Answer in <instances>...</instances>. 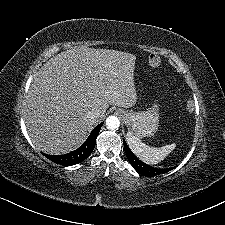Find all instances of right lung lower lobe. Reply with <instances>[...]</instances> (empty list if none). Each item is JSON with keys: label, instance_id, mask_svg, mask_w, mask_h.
Wrapping results in <instances>:
<instances>
[{"label": "right lung lower lobe", "instance_id": "right-lung-lower-lobe-1", "mask_svg": "<svg viewBox=\"0 0 225 225\" xmlns=\"http://www.w3.org/2000/svg\"><path fill=\"white\" fill-rule=\"evenodd\" d=\"M102 125H103V122L99 124L98 126H96L92 130V132L90 133L86 141L75 151H72L64 155H56V156L48 155V154H43V155L47 157L48 159H50L51 161L64 166L75 165L84 161L92 153L96 144V138L99 134V131Z\"/></svg>", "mask_w": 225, "mask_h": 225}]
</instances>
